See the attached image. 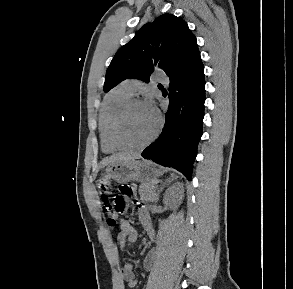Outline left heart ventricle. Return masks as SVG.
<instances>
[{
  "instance_id": "b2bd125f",
  "label": "left heart ventricle",
  "mask_w": 293,
  "mask_h": 289,
  "mask_svg": "<svg viewBox=\"0 0 293 289\" xmlns=\"http://www.w3.org/2000/svg\"><path fill=\"white\" fill-rule=\"evenodd\" d=\"M156 125V114L146 104L134 105L122 122L121 137L126 143L141 144L150 138Z\"/></svg>"
}]
</instances>
